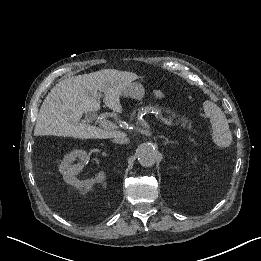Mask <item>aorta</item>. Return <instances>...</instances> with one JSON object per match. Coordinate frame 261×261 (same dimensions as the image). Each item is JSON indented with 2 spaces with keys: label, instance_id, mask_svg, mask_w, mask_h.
I'll list each match as a JSON object with an SVG mask.
<instances>
[{
  "label": "aorta",
  "instance_id": "obj_1",
  "mask_svg": "<svg viewBox=\"0 0 261 261\" xmlns=\"http://www.w3.org/2000/svg\"><path fill=\"white\" fill-rule=\"evenodd\" d=\"M137 155L139 163L143 167H151L156 163L157 152L151 145L140 146Z\"/></svg>",
  "mask_w": 261,
  "mask_h": 261
}]
</instances>
